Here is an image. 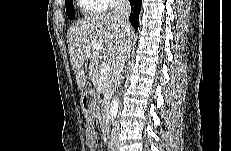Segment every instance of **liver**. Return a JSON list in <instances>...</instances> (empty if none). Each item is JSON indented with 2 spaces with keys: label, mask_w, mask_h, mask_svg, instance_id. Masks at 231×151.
Segmentation results:
<instances>
[{
  "label": "liver",
  "mask_w": 231,
  "mask_h": 151,
  "mask_svg": "<svg viewBox=\"0 0 231 151\" xmlns=\"http://www.w3.org/2000/svg\"><path fill=\"white\" fill-rule=\"evenodd\" d=\"M133 32L126 34L112 13L91 15L78 20L67 32L68 50L76 75L77 86L82 90L87 83L84 64L89 63V78L96 72L100 54L118 67L122 50L132 42ZM101 43L103 49L92 48Z\"/></svg>",
  "instance_id": "obj_1"
}]
</instances>
